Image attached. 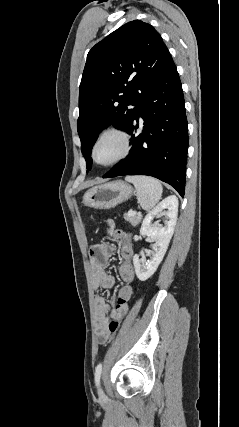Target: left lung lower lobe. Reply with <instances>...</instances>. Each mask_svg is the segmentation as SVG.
I'll return each mask as SVG.
<instances>
[{
	"label": "left lung lower lobe",
	"mask_w": 239,
	"mask_h": 427,
	"mask_svg": "<svg viewBox=\"0 0 239 427\" xmlns=\"http://www.w3.org/2000/svg\"><path fill=\"white\" fill-rule=\"evenodd\" d=\"M139 118L143 120L140 134ZM126 131L132 135L130 153L103 178L148 175L170 184L184 196L188 128L175 64L146 91Z\"/></svg>",
	"instance_id": "0a47b994"
}]
</instances>
